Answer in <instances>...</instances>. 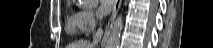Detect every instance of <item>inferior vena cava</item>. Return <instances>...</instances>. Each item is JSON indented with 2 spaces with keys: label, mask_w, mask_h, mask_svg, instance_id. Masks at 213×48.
Listing matches in <instances>:
<instances>
[{
  "label": "inferior vena cava",
  "mask_w": 213,
  "mask_h": 48,
  "mask_svg": "<svg viewBox=\"0 0 213 48\" xmlns=\"http://www.w3.org/2000/svg\"><path fill=\"white\" fill-rule=\"evenodd\" d=\"M102 35H103V30H102V27L100 26L93 36V44L98 43L101 40Z\"/></svg>",
  "instance_id": "inferior-vena-cava-1"
}]
</instances>
